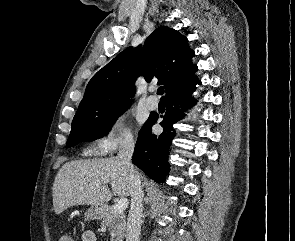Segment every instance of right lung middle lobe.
Returning <instances> with one entry per match:
<instances>
[{
	"instance_id": "1",
	"label": "right lung middle lobe",
	"mask_w": 295,
	"mask_h": 241,
	"mask_svg": "<svg viewBox=\"0 0 295 241\" xmlns=\"http://www.w3.org/2000/svg\"><path fill=\"white\" fill-rule=\"evenodd\" d=\"M129 106L130 101L119 100L79 107L66 145L72 147L82 140L93 141L105 136Z\"/></svg>"
}]
</instances>
